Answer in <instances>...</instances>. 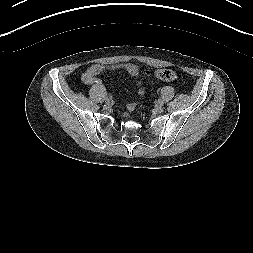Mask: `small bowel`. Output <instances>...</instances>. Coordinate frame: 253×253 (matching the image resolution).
Instances as JSON below:
<instances>
[{
	"mask_svg": "<svg viewBox=\"0 0 253 253\" xmlns=\"http://www.w3.org/2000/svg\"><path fill=\"white\" fill-rule=\"evenodd\" d=\"M125 68L133 76H137L139 74V69L134 64H127ZM106 69L108 68L104 65H93L83 74L82 79L86 84H91L95 81L96 76Z\"/></svg>",
	"mask_w": 253,
	"mask_h": 253,
	"instance_id": "c3829d8e",
	"label": "small bowel"
}]
</instances>
